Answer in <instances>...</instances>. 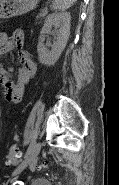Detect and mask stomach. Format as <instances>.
Here are the masks:
<instances>
[{"label":"stomach","instance_id":"0dacf381","mask_svg":"<svg viewBox=\"0 0 119 185\" xmlns=\"http://www.w3.org/2000/svg\"><path fill=\"white\" fill-rule=\"evenodd\" d=\"M39 0H0V19L19 16L34 9Z\"/></svg>","mask_w":119,"mask_h":185}]
</instances>
